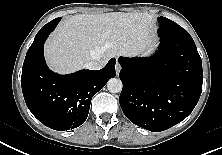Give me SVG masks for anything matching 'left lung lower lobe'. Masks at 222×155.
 <instances>
[{
    "label": "left lung lower lobe",
    "mask_w": 222,
    "mask_h": 155,
    "mask_svg": "<svg viewBox=\"0 0 222 155\" xmlns=\"http://www.w3.org/2000/svg\"><path fill=\"white\" fill-rule=\"evenodd\" d=\"M119 102L134 124L159 132L184 120L196 106L202 61L192 37H160L153 57H120Z\"/></svg>",
    "instance_id": "obj_1"
}]
</instances>
